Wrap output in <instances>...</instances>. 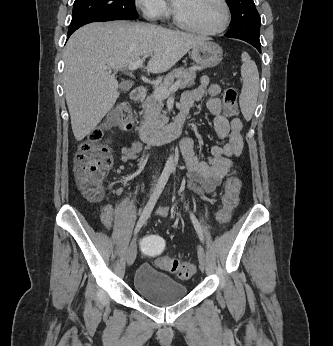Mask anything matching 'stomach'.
<instances>
[{
    "instance_id": "obj_1",
    "label": "stomach",
    "mask_w": 333,
    "mask_h": 346,
    "mask_svg": "<svg viewBox=\"0 0 333 346\" xmlns=\"http://www.w3.org/2000/svg\"><path fill=\"white\" fill-rule=\"evenodd\" d=\"M223 56L221 47L213 42L204 41L192 48L191 58L193 61L204 68H211L218 65Z\"/></svg>"
}]
</instances>
